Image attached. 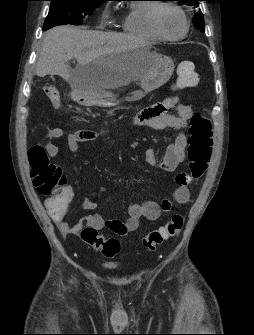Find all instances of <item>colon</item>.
I'll list each match as a JSON object with an SVG mask.
<instances>
[{
    "mask_svg": "<svg viewBox=\"0 0 254 335\" xmlns=\"http://www.w3.org/2000/svg\"><path fill=\"white\" fill-rule=\"evenodd\" d=\"M178 88H186L197 83L195 65L191 61H182L177 66ZM45 94L54 108L61 107V96L55 86H47ZM188 161L189 171L193 179H199L207 170L212 155L213 131L210 120L202 114H194L188 128ZM28 160L34 184L39 193L51 196L63 185L62 170L49 161L48 153L41 144L33 145L28 150ZM67 199L59 197L49 199V210L60 212ZM183 227V217L179 214L171 215L161 227L149 232L142 240L143 246L154 251L166 240L180 233ZM82 240L88 245L101 251L104 257L114 258L120 252V243L115 238H105L96 229L86 227L81 232Z\"/></svg>",
    "mask_w": 254,
    "mask_h": 335,
    "instance_id": "5ec220e1",
    "label": "colon"
}]
</instances>
